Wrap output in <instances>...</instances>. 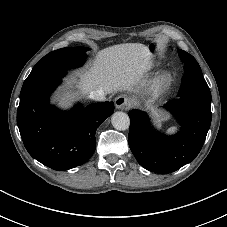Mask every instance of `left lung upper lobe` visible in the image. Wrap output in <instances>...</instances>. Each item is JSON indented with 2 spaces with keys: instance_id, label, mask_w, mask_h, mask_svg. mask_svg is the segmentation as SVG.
<instances>
[{
  "instance_id": "obj_1",
  "label": "left lung upper lobe",
  "mask_w": 227,
  "mask_h": 227,
  "mask_svg": "<svg viewBox=\"0 0 227 227\" xmlns=\"http://www.w3.org/2000/svg\"><path fill=\"white\" fill-rule=\"evenodd\" d=\"M178 53L185 64V74L182 79L178 98L200 99L211 102L209 87L195 58L181 49Z\"/></svg>"
}]
</instances>
